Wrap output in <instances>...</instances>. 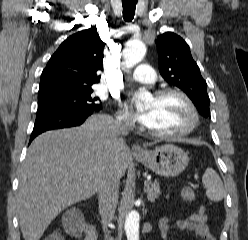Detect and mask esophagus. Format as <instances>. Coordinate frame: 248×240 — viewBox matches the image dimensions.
Segmentation results:
<instances>
[{
	"instance_id": "34e87169",
	"label": "esophagus",
	"mask_w": 248,
	"mask_h": 240,
	"mask_svg": "<svg viewBox=\"0 0 248 240\" xmlns=\"http://www.w3.org/2000/svg\"><path fill=\"white\" fill-rule=\"evenodd\" d=\"M131 151L133 154H136V155H140V154L145 153L144 149L141 146H139L138 144H134L131 148Z\"/></svg>"
}]
</instances>
